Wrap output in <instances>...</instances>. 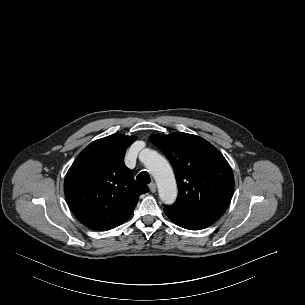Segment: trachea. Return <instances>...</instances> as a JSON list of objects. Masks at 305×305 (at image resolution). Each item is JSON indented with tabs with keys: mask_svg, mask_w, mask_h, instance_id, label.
Listing matches in <instances>:
<instances>
[{
	"mask_svg": "<svg viewBox=\"0 0 305 305\" xmlns=\"http://www.w3.org/2000/svg\"><path fill=\"white\" fill-rule=\"evenodd\" d=\"M136 179H137V181H139L140 183H143V184H149L151 181L150 175L146 171L140 172L137 175Z\"/></svg>",
	"mask_w": 305,
	"mask_h": 305,
	"instance_id": "3493384b",
	"label": "trachea"
}]
</instances>
